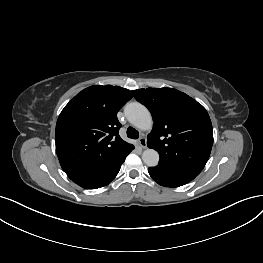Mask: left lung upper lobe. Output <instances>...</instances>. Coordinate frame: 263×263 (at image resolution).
Instances as JSON below:
<instances>
[{
	"label": "left lung upper lobe",
	"instance_id": "5c2ea615",
	"mask_svg": "<svg viewBox=\"0 0 263 263\" xmlns=\"http://www.w3.org/2000/svg\"><path fill=\"white\" fill-rule=\"evenodd\" d=\"M132 93L153 116L147 145L159 153V165L197 176L208 161L213 144L206 109L172 88L137 89Z\"/></svg>",
	"mask_w": 263,
	"mask_h": 263
}]
</instances>
